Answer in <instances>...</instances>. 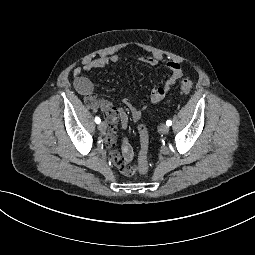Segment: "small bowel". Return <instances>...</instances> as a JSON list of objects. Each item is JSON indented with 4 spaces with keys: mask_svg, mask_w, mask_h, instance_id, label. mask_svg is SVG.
Wrapping results in <instances>:
<instances>
[{
    "mask_svg": "<svg viewBox=\"0 0 255 255\" xmlns=\"http://www.w3.org/2000/svg\"><path fill=\"white\" fill-rule=\"evenodd\" d=\"M119 60L120 58L117 54L99 56L97 58L87 60L83 63L82 67H75L73 69V82L76 90L84 96L85 103L90 108L100 109L103 112L109 126L106 143L110 158L121 173L130 176L135 172L134 167L130 165L134 156L133 150L127 137L123 138L121 153L115 149L117 127L120 125L122 129H126L129 114L135 121H138L142 116L143 109H145L148 105H155L161 102L173 85L182 77L183 69L178 62L165 59L162 56L143 55L138 57V60L146 64L153 66L162 65L168 70V75L158 87L152 90L147 105L140 108L130 100L126 99L125 104L128 108V112L125 108H116L107 100L98 97L93 92L92 82L82 75V70L91 71L94 69L104 68L111 63H118Z\"/></svg>",
    "mask_w": 255,
    "mask_h": 255,
    "instance_id": "c3829d8e",
    "label": "small bowel"
}]
</instances>
